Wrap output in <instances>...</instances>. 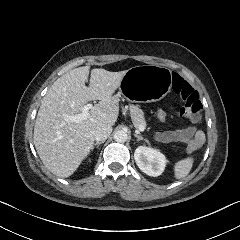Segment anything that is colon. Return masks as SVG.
Masks as SVG:
<instances>
[{
    "instance_id": "1",
    "label": "colon",
    "mask_w": 240,
    "mask_h": 240,
    "mask_svg": "<svg viewBox=\"0 0 240 240\" xmlns=\"http://www.w3.org/2000/svg\"><path fill=\"white\" fill-rule=\"evenodd\" d=\"M181 100L188 102V116L193 121L199 120V113L202 110V102L200 100L198 92L189 84L184 83L179 91ZM159 120H167V113L159 110L157 113ZM189 143V142H188ZM195 145L198 147L202 146V132H197V135H193V139L190 140V150H195Z\"/></svg>"
}]
</instances>
